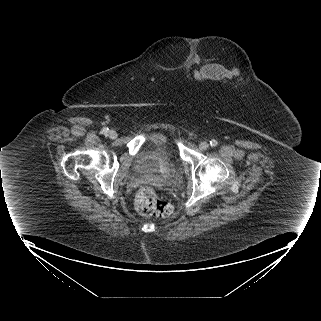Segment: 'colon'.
I'll use <instances>...</instances> for the list:
<instances>
[{
	"instance_id": "1",
	"label": "colon",
	"mask_w": 321,
	"mask_h": 321,
	"mask_svg": "<svg viewBox=\"0 0 321 321\" xmlns=\"http://www.w3.org/2000/svg\"><path fill=\"white\" fill-rule=\"evenodd\" d=\"M134 203L138 213L144 217L165 218L172 213V206L148 186L138 191Z\"/></svg>"
}]
</instances>
